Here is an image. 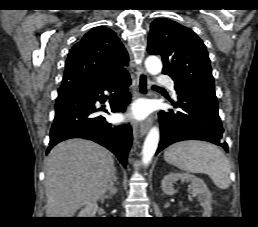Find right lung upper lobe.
Listing matches in <instances>:
<instances>
[{"label": "right lung upper lobe", "mask_w": 258, "mask_h": 227, "mask_svg": "<svg viewBox=\"0 0 258 227\" xmlns=\"http://www.w3.org/2000/svg\"><path fill=\"white\" fill-rule=\"evenodd\" d=\"M128 54L109 28L96 27L86 33L69 52L61 88L83 80H109L126 71Z\"/></svg>", "instance_id": "right-lung-upper-lobe-1"}]
</instances>
